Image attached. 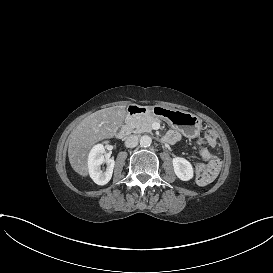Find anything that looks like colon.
<instances>
[{
    "mask_svg": "<svg viewBox=\"0 0 273 273\" xmlns=\"http://www.w3.org/2000/svg\"><path fill=\"white\" fill-rule=\"evenodd\" d=\"M220 167V160L218 158H211V160L204 166L200 168V184L206 185L212 179L215 178L218 169Z\"/></svg>",
    "mask_w": 273,
    "mask_h": 273,
    "instance_id": "obj_1",
    "label": "colon"
}]
</instances>
